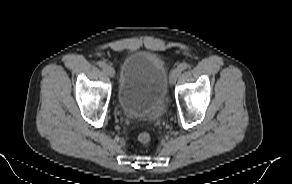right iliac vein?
<instances>
[{
    "label": "right iliac vein",
    "instance_id": "right-iliac-vein-1",
    "mask_svg": "<svg viewBox=\"0 0 292 184\" xmlns=\"http://www.w3.org/2000/svg\"><path fill=\"white\" fill-rule=\"evenodd\" d=\"M104 72H105L108 76H110V77H114V75H115V70H114V68L111 67V66H109V65H106V66L104 67Z\"/></svg>",
    "mask_w": 292,
    "mask_h": 184
}]
</instances>
